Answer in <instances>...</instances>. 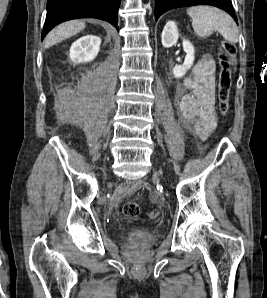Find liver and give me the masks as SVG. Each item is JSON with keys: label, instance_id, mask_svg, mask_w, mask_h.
<instances>
[{"label": "liver", "instance_id": "6515ba94", "mask_svg": "<svg viewBox=\"0 0 267 298\" xmlns=\"http://www.w3.org/2000/svg\"><path fill=\"white\" fill-rule=\"evenodd\" d=\"M84 21L73 20L62 23L50 31L45 40V47L49 48L65 39H68L85 28Z\"/></svg>", "mask_w": 267, "mask_h": 298}]
</instances>
